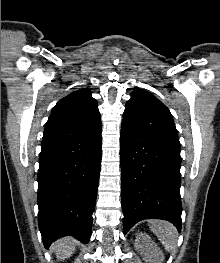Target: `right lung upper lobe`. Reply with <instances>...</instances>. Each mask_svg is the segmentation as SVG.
Masks as SVG:
<instances>
[{"instance_id":"right-lung-upper-lobe-1","label":"right lung upper lobe","mask_w":220,"mask_h":263,"mask_svg":"<svg viewBox=\"0 0 220 263\" xmlns=\"http://www.w3.org/2000/svg\"><path fill=\"white\" fill-rule=\"evenodd\" d=\"M101 127L97 101L82 88L62 98L53 108L43 138H81Z\"/></svg>"}]
</instances>
